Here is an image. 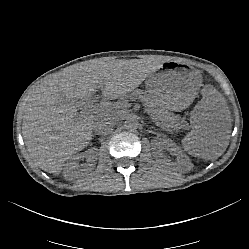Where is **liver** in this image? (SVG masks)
<instances>
[{"label": "liver", "instance_id": "liver-1", "mask_svg": "<svg viewBox=\"0 0 249 249\" xmlns=\"http://www.w3.org/2000/svg\"><path fill=\"white\" fill-rule=\"evenodd\" d=\"M150 75L147 67H69L36 86L22 123L33 165L53 175H59L65 165L71 166L68 158L91 144L92 125L103 113L111 114L112 101L126 97ZM96 88L107 101H101L96 112H84ZM160 97L157 93L153 100L168 111H183L188 106L185 102L165 106ZM190 124L193 130L181 140L189 156L213 160L225 152L232 127L227 103L220 94L204 90L191 111Z\"/></svg>", "mask_w": 249, "mask_h": 249}]
</instances>
